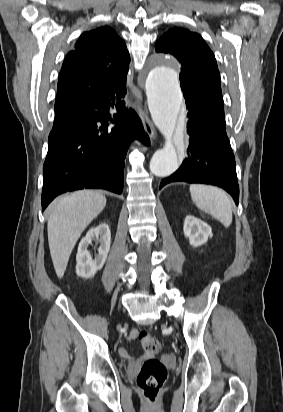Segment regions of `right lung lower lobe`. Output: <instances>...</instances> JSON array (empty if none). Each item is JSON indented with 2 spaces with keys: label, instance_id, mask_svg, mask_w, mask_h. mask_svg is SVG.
Listing matches in <instances>:
<instances>
[{
  "label": "right lung lower lobe",
  "instance_id": "obj_1",
  "mask_svg": "<svg viewBox=\"0 0 283 412\" xmlns=\"http://www.w3.org/2000/svg\"><path fill=\"white\" fill-rule=\"evenodd\" d=\"M61 76L67 78L66 68ZM125 93L126 87L104 88L61 116L55 115L43 166L42 210L67 191L102 188L122 192L129 143L138 138L149 144L141 120L134 110L125 107ZM114 105L117 113L110 118L108 110ZM109 120L116 126L108 128Z\"/></svg>",
  "mask_w": 283,
  "mask_h": 412
}]
</instances>
